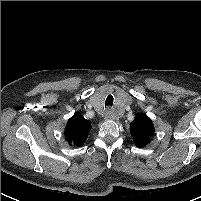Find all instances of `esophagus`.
Here are the masks:
<instances>
[{
  "label": "esophagus",
  "mask_w": 201,
  "mask_h": 201,
  "mask_svg": "<svg viewBox=\"0 0 201 201\" xmlns=\"http://www.w3.org/2000/svg\"><path fill=\"white\" fill-rule=\"evenodd\" d=\"M104 118L105 119H108V118H111V111L109 109H107L104 113Z\"/></svg>",
  "instance_id": "1"
}]
</instances>
